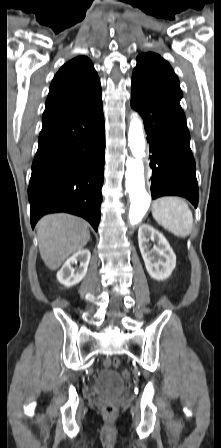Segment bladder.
<instances>
[{"label": "bladder", "instance_id": "1", "mask_svg": "<svg viewBox=\"0 0 221 448\" xmlns=\"http://www.w3.org/2000/svg\"><path fill=\"white\" fill-rule=\"evenodd\" d=\"M125 390V382L123 378L115 371H102L96 378L92 392L102 397L114 399L123 394Z\"/></svg>", "mask_w": 221, "mask_h": 448}]
</instances>
